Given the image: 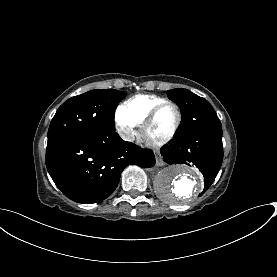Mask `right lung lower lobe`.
<instances>
[{
    "label": "right lung lower lobe",
    "instance_id": "98d812e1",
    "mask_svg": "<svg viewBox=\"0 0 277 277\" xmlns=\"http://www.w3.org/2000/svg\"><path fill=\"white\" fill-rule=\"evenodd\" d=\"M129 164L149 168L155 158L151 150L123 141L115 131L69 135L47 143V170L56 186L75 202L106 199Z\"/></svg>",
    "mask_w": 277,
    "mask_h": 277
}]
</instances>
